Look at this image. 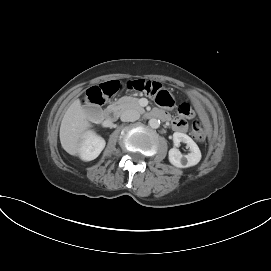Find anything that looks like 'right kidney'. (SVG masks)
I'll use <instances>...</instances> for the list:
<instances>
[{"label": "right kidney", "instance_id": "1", "mask_svg": "<svg viewBox=\"0 0 271 271\" xmlns=\"http://www.w3.org/2000/svg\"><path fill=\"white\" fill-rule=\"evenodd\" d=\"M105 140L94 134L89 133L83 140L80 148V157L84 161L96 159L105 147Z\"/></svg>", "mask_w": 271, "mask_h": 271}]
</instances>
